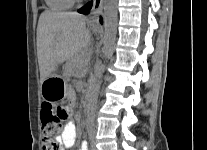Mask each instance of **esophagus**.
Here are the masks:
<instances>
[{
  "label": "esophagus",
  "instance_id": "obj_1",
  "mask_svg": "<svg viewBox=\"0 0 207 150\" xmlns=\"http://www.w3.org/2000/svg\"><path fill=\"white\" fill-rule=\"evenodd\" d=\"M104 0H92V8L88 15V22L92 24L99 23V16L102 11Z\"/></svg>",
  "mask_w": 207,
  "mask_h": 150
}]
</instances>
